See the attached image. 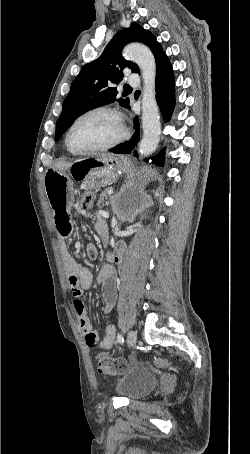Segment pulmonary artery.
Instances as JSON below:
<instances>
[{
    "label": "pulmonary artery",
    "instance_id": "obj_1",
    "mask_svg": "<svg viewBox=\"0 0 250 454\" xmlns=\"http://www.w3.org/2000/svg\"><path fill=\"white\" fill-rule=\"evenodd\" d=\"M127 83L137 85L139 83V76L136 73H131L127 78Z\"/></svg>",
    "mask_w": 250,
    "mask_h": 454
}]
</instances>
